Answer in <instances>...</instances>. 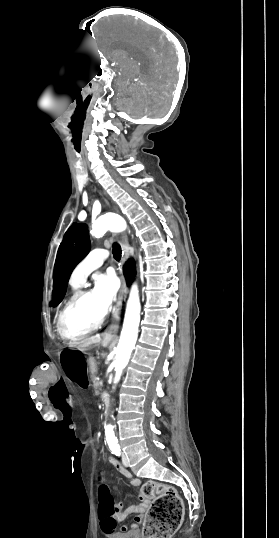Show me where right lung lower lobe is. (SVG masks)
I'll list each match as a JSON object with an SVG mask.
<instances>
[{
  "mask_svg": "<svg viewBox=\"0 0 279 538\" xmlns=\"http://www.w3.org/2000/svg\"><path fill=\"white\" fill-rule=\"evenodd\" d=\"M124 274L127 276V283L130 284L135 276V265L133 261H127L124 269Z\"/></svg>",
  "mask_w": 279,
  "mask_h": 538,
  "instance_id": "right-lung-lower-lobe-1",
  "label": "right lung lower lobe"
}]
</instances>
